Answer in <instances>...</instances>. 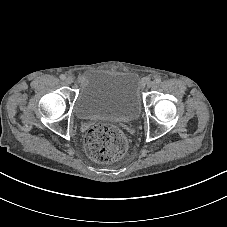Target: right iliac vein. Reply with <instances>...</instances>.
I'll return each instance as SVG.
<instances>
[{"label": "right iliac vein", "mask_w": 227, "mask_h": 227, "mask_svg": "<svg viewBox=\"0 0 227 227\" xmlns=\"http://www.w3.org/2000/svg\"><path fill=\"white\" fill-rule=\"evenodd\" d=\"M65 82H66L67 85H71L73 83V79L72 78H67L65 80Z\"/></svg>", "instance_id": "63e3f726"}]
</instances>
